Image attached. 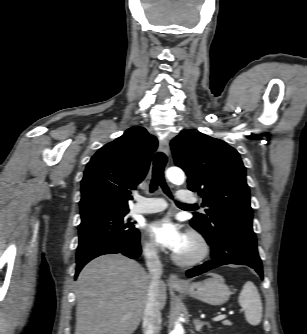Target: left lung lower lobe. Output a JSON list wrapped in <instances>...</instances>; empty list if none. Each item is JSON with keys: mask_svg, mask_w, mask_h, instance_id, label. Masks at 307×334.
I'll return each instance as SVG.
<instances>
[{"mask_svg": "<svg viewBox=\"0 0 307 334\" xmlns=\"http://www.w3.org/2000/svg\"><path fill=\"white\" fill-rule=\"evenodd\" d=\"M202 235L211 246L212 260L188 270L189 278L221 265L237 264L254 268L263 279L262 264L252 223L224 220L216 223L212 232Z\"/></svg>", "mask_w": 307, "mask_h": 334, "instance_id": "1", "label": "left lung lower lobe"}]
</instances>
